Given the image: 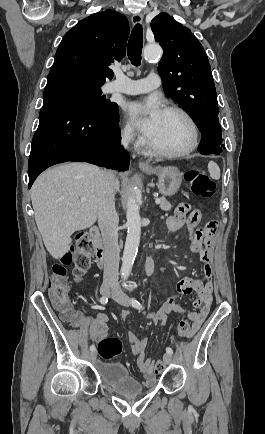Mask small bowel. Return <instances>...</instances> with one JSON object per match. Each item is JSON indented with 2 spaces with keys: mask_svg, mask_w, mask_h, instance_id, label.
Wrapping results in <instances>:
<instances>
[{
  "mask_svg": "<svg viewBox=\"0 0 265 434\" xmlns=\"http://www.w3.org/2000/svg\"><path fill=\"white\" fill-rule=\"evenodd\" d=\"M188 204H180L174 214L169 216L166 221V227L169 232H176L183 226H187L191 235V250L198 254L203 266L201 269L200 277H183L181 278L171 295L166 299L160 309L150 312V318H153V322L157 326H163L170 313H184L185 309L176 302L178 294L189 295L196 293L197 298L193 302V306L198 309V312L186 313V319L190 322L191 332L188 334V338L193 337L201 328L205 319L207 318L212 304V274L213 269L211 265V245L215 231L206 237L199 236V231H203L202 226L195 234L194 228L197 226L200 220V213L195 212L189 218H187ZM215 221H210L208 223ZM133 315L129 310L122 313V318L125 320L127 317ZM144 318L148 317L147 313L143 314ZM108 318L105 314H98L96 317L91 318L83 312H76L72 319V324L88 331L90 338L93 341H99L103 339L108 333L107 326ZM128 340L131 343L132 351L137 355V364L143 373L146 384L153 385L155 381V375L153 371V360L145 357V350L148 346V340L146 338L139 339L133 334L128 335Z\"/></svg>",
  "mask_w": 265,
  "mask_h": 434,
  "instance_id": "c3829d8e",
  "label": "small bowel"
}]
</instances>
